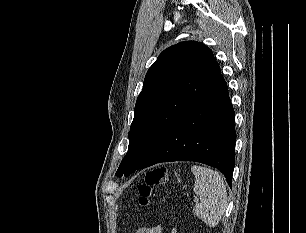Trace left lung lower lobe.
Masks as SVG:
<instances>
[{"mask_svg": "<svg viewBox=\"0 0 306 233\" xmlns=\"http://www.w3.org/2000/svg\"><path fill=\"white\" fill-rule=\"evenodd\" d=\"M234 110L220 74L139 167L160 162L196 161L220 170L230 186L235 167Z\"/></svg>", "mask_w": 306, "mask_h": 233, "instance_id": "0a47b994", "label": "left lung lower lobe"}]
</instances>
